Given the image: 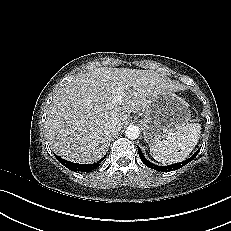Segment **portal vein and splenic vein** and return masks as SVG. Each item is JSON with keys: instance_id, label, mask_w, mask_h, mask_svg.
Here are the masks:
<instances>
[{"instance_id": "portal-vein-and-splenic-vein-1", "label": "portal vein and splenic vein", "mask_w": 231, "mask_h": 231, "mask_svg": "<svg viewBox=\"0 0 231 231\" xmlns=\"http://www.w3.org/2000/svg\"><path fill=\"white\" fill-rule=\"evenodd\" d=\"M122 98H123V92L119 90V92H117V95L112 99V103L118 104L119 102L122 101Z\"/></svg>"}]
</instances>
